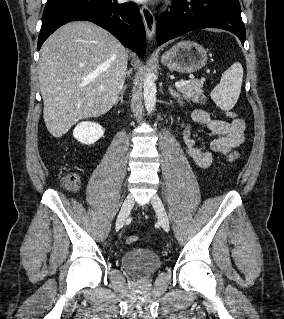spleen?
I'll return each mask as SVG.
<instances>
[{
    "label": "spleen",
    "instance_id": "3e777b00",
    "mask_svg": "<svg viewBox=\"0 0 284 319\" xmlns=\"http://www.w3.org/2000/svg\"><path fill=\"white\" fill-rule=\"evenodd\" d=\"M242 81L243 67L235 62L222 74L220 83L211 91V99L224 111L232 109L240 95Z\"/></svg>",
    "mask_w": 284,
    "mask_h": 319
}]
</instances>
